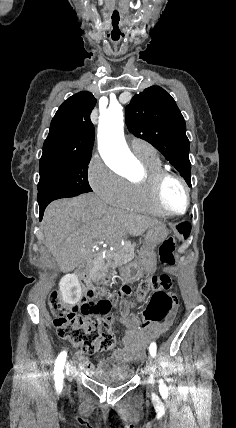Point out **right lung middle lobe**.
I'll list each match as a JSON object with an SVG mask.
<instances>
[{
    "mask_svg": "<svg viewBox=\"0 0 236 428\" xmlns=\"http://www.w3.org/2000/svg\"><path fill=\"white\" fill-rule=\"evenodd\" d=\"M90 159L91 155H42L38 183L39 205L59 198L92 192L87 179Z\"/></svg>",
    "mask_w": 236,
    "mask_h": 428,
    "instance_id": "obj_1",
    "label": "right lung middle lobe"
}]
</instances>
